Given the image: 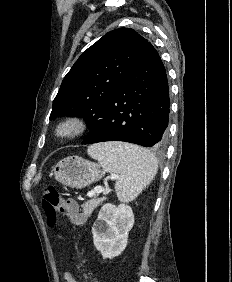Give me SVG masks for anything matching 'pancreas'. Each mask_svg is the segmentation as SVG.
<instances>
[{"mask_svg": "<svg viewBox=\"0 0 232 282\" xmlns=\"http://www.w3.org/2000/svg\"><path fill=\"white\" fill-rule=\"evenodd\" d=\"M102 201L103 199L101 198H98V199L94 198V199L87 201L86 203L82 205L83 213L87 216H90L93 210L97 208L102 203Z\"/></svg>", "mask_w": 232, "mask_h": 282, "instance_id": "pancreas-1", "label": "pancreas"}]
</instances>
